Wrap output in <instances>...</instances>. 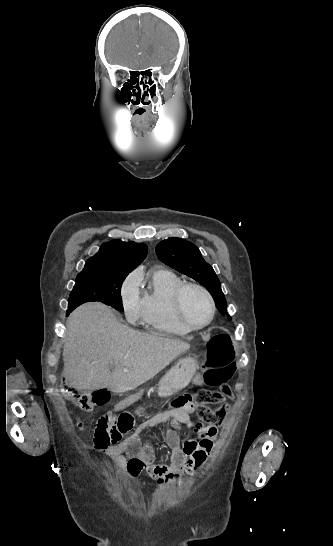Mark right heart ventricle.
Returning <instances> with one entry per match:
<instances>
[{"mask_svg":"<svg viewBox=\"0 0 333 546\" xmlns=\"http://www.w3.org/2000/svg\"><path fill=\"white\" fill-rule=\"evenodd\" d=\"M184 283L176 273L158 268L142 282V321L152 330L172 336H186L191 331L177 319L173 309L175 290Z\"/></svg>","mask_w":333,"mask_h":546,"instance_id":"obj_1","label":"right heart ventricle"}]
</instances>
